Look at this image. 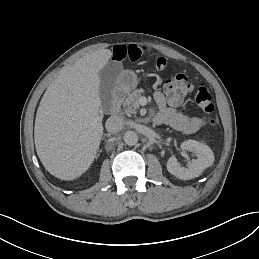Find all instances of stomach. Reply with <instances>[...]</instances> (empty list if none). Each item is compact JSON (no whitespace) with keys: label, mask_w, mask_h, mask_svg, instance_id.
<instances>
[{"label":"stomach","mask_w":259,"mask_h":259,"mask_svg":"<svg viewBox=\"0 0 259 259\" xmlns=\"http://www.w3.org/2000/svg\"><path fill=\"white\" fill-rule=\"evenodd\" d=\"M138 79L136 74L133 71H123L119 74L116 79V87L120 91L125 93L131 92L137 87Z\"/></svg>","instance_id":"obj_1"}]
</instances>
